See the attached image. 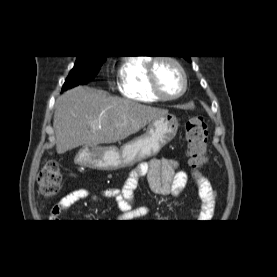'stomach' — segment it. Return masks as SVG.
Masks as SVG:
<instances>
[{
	"label": "stomach",
	"mask_w": 277,
	"mask_h": 277,
	"mask_svg": "<svg viewBox=\"0 0 277 277\" xmlns=\"http://www.w3.org/2000/svg\"><path fill=\"white\" fill-rule=\"evenodd\" d=\"M178 120L167 114L152 120L145 133L123 145L116 147H84L77 155L76 162L91 168L115 170L156 155L176 135Z\"/></svg>",
	"instance_id": "stomach-1"
}]
</instances>
